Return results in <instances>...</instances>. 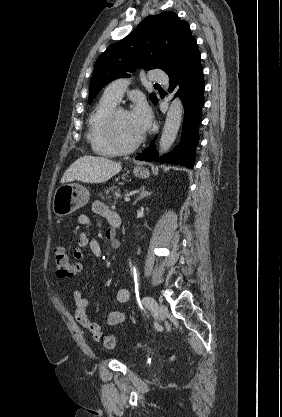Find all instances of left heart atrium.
I'll return each mask as SVG.
<instances>
[{
	"mask_svg": "<svg viewBox=\"0 0 282 417\" xmlns=\"http://www.w3.org/2000/svg\"><path fill=\"white\" fill-rule=\"evenodd\" d=\"M137 128L143 132L150 125L151 114L147 106L139 105L136 111L132 114Z\"/></svg>",
	"mask_w": 282,
	"mask_h": 417,
	"instance_id": "39dd6f15",
	"label": "left heart atrium"
}]
</instances>
